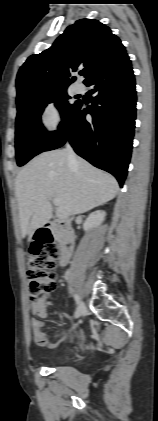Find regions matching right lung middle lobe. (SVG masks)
Listing matches in <instances>:
<instances>
[{
	"label": "right lung middle lobe",
	"instance_id": "1",
	"mask_svg": "<svg viewBox=\"0 0 158 421\" xmlns=\"http://www.w3.org/2000/svg\"><path fill=\"white\" fill-rule=\"evenodd\" d=\"M66 89L41 94L17 104L15 148L18 166L27 163L31 158L44 151L57 131L47 132L41 123V114L48 103L55 102L62 122L70 117L80 101L69 102Z\"/></svg>",
	"mask_w": 158,
	"mask_h": 421
}]
</instances>
